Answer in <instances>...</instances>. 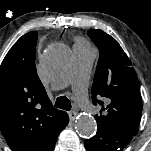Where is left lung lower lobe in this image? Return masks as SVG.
I'll use <instances>...</instances> for the list:
<instances>
[{"mask_svg":"<svg viewBox=\"0 0 151 151\" xmlns=\"http://www.w3.org/2000/svg\"><path fill=\"white\" fill-rule=\"evenodd\" d=\"M132 139L131 136L98 127L91 139L85 140L88 151H122Z\"/></svg>","mask_w":151,"mask_h":151,"instance_id":"1","label":"left lung lower lobe"}]
</instances>
